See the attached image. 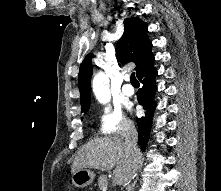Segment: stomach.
<instances>
[{"label":"stomach","mask_w":221,"mask_h":191,"mask_svg":"<svg viewBox=\"0 0 221 191\" xmlns=\"http://www.w3.org/2000/svg\"><path fill=\"white\" fill-rule=\"evenodd\" d=\"M94 178L95 174L92 170L89 168H82L76 170L72 174V185L75 187L83 188L92 184Z\"/></svg>","instance_id":"stomach-1"}]
</instances>
